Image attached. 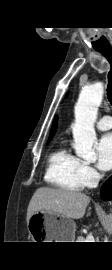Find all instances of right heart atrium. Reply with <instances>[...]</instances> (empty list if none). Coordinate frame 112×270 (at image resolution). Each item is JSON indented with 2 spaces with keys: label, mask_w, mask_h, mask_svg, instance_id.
Instances as JSON below:
<instances>
[{
  "label": "right heart atrium",
  "mask_w": 112,
  "mask_h": 270,
  "mask_svg": "<svg viewBox=\"0 0 112 270\" xmlns=\"http://www.w3.org/2000/svg\"><path fill=\"white\" fill-rule=\"evenodd\" d=\"M80 175L86 187L92 186L98 179V173L94 167L84 161L80 163Z\"/></svg>",
  "instance_id": "1"
}]
</instances>
